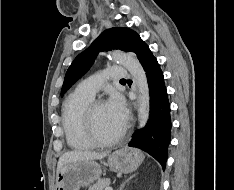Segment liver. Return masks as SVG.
Listing matches in <instances>:
<instances>
[{
    "label": "liver",
    "mask_w": 234,
    "mask_h": 190,
    "mask_svg": "<svg viewBox=\"0 0 234 190\" xmlns=\"http://www.w3.org/2000/svg\"><path fill=\"white\" fill-rule=\"evenodd\" d=\"M107 156V153H95L91 151H69L64 153L58 161L57 173L60 168L70 162L82 161V160H100Z\"/></svg>",
    "instance_id": "6515ba94"
}]
</instances>
